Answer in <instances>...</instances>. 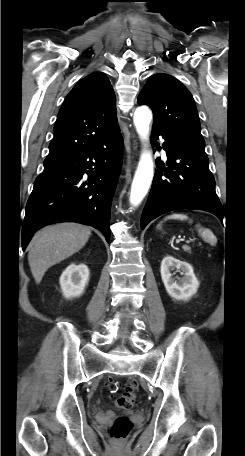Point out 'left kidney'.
<instances>
[{
    "instance_id": "1",
    "label": "left kidney",
    "mask_w": 245,
    "mask_h": 456,
    "mask_svg": "<svg viewBox=\"0 0 245 456\" xmlns=\"http://www.w3.org/2000/svg\"><path fill=\"white\" fill-rule=\"evenodd\" d=\"M174 269L181 271L183 277L176 280L171 273ZM161 277L167 293L176 300H188L199 287L191 265L169 255L161 262Z\"/></svg>"
}]
</instances>
